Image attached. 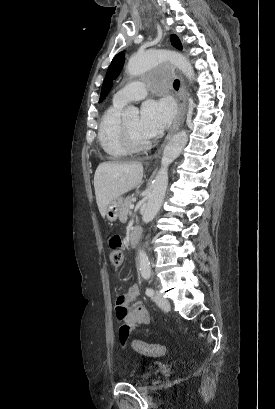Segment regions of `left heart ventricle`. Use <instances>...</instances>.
<instances>
[{"label":"left heart ventricle","instance_id":"obj_1","mask_svg":"<svg viewBox=\"0 0 275 409\" xmlns=\"http://www.w3.org/2000/svg\"><path fill=\"white\" fill-rule=\"evenodd\" d=\"M126 124L130 129L134 139L138 143H146L151 140L150 138L145 136L140 130V119L138 116L130 118L129 120L126 121Z\"/></svg>","mask_w":275,"mask_h":409}]
</instances>
